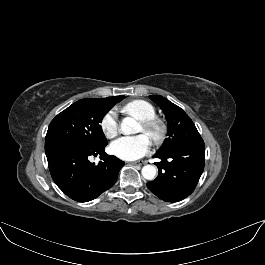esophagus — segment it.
Listing matches in <instances>:
<instances>
[{"mask_svg":"<svg viewBox=\"0 0 265 265\" xmlns=\"http://www.w3.org/2000/svg\"><path fill=\"white\" fill-rule=\"evenodd\" d=\"M130 164L131 165H143V164H145V162L144 161H137V162H132Z\"/></svg>","mask_w":265,"mask_h":265,"instance_id":"esophagus-1","label":"esophagus"}]
</instances>
